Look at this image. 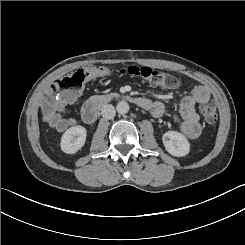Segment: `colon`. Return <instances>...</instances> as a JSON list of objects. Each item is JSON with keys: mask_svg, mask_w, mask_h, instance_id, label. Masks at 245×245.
Wrapping results in <instances>:
<instances>
[{"mask_svg": "<svg viewBox=\"0 0 245 245\" xmlns=\"http://www.w3.org/2000/svg\"><path fill=\"white\" fill-rule=\"evenodd\" d=\"M118 72L135 76L143 81L162 88H173L178 84L177 79L163 70H157L146 66L120 67ZM111 70L105 67L100 68H79L60 79L52 86V96L48 98L46 106L52 108L59 96L72 97L77 95L87 83L97 77L109 75ZM200 112L208 124H214L217 120V111L213 103L205 102L200 106Z\"/></svg>", "mask_w": 245, "mask_h": 245, "instance_id": "colon-1", "label": "colon"}]
</instances>
